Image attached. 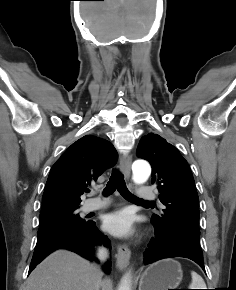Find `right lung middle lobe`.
<instances>
[{"label": "right lung middle lobe", "instance_id": "right-lung-middle-lobe-1", "mask_svg": "<svg viewBox=\"0 0 236 290\" xmlns=\"http://www.w3.org/2000/svg\"><path fill=\"white\" fill-rule=\"evenodd\" d=\"M78 206L40 212L38 235L59 229L73 228L88 223L77 213Z\"/></svg>", "mask_w": 236, "mask_h": 290}]
</instances>
